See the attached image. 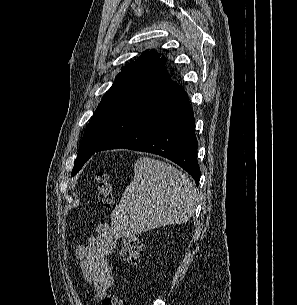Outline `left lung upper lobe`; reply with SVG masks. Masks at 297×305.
Masks as SVG:
<instances>
[{
    "label": "left lung upper lobe",
    "instance_id": "left-lung-upper-lobe-1",
    "mask_svg": "<svg viewBox=\"0 0 297 305\" xmlns=\"http://www.w3.org/2000/svg\"><path fill=\"white\" fill-rule=\"evenodd\" d=\"M155 52H146L135 62L124 66L111 88L105 93L91 118L71 175L79 172L84 163L95 153L130 103L150 84L169 79L164 63Z\"/></svg>",
    "mask_w": 297,
    "mask_h": 305
}]
</instances>
